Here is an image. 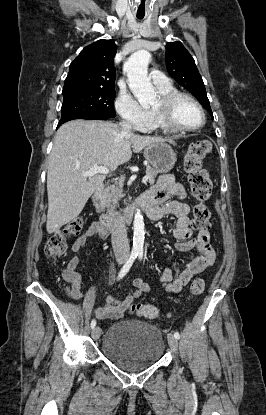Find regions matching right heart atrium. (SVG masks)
Wrapping results in <instances>:
<instances>
[{
	"label": "right heart atrium",
	"mask_w": 266,
	"mask_h": 415,
	"mask_svg": "<svg viewBox=\"0 0 266 415\" xmlns=\"http://www.w3.org/2000/svg\"><path fill=\"white\" fill-rule=\"evenodd\" d=\"M115 106L120 117L137 129L148 127L151 113L150 110L141 106L135 98L128 92H121Z\"/></svg>",
	"instance_id": "1"
}]
</instances>
